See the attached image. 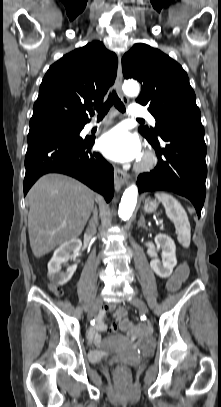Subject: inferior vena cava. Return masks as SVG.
Instances as JSON below:
<instances>
[{"mask_svg":"<svg viewBox=\"0 0 221 407\" xmlns=\"http://www.w3.org/2000/svg\"><path fill=\"white\" fill-rule=\"evenodd\" d=\"M96 226H97V220L95 221L93 218L89 221V226L87 228V233L90 235H93L96 233Z\"/></svg>","mask_w":221,"mask_h":407,"instance_id":"1","label":"inferior vena cava"}]
</instances>
